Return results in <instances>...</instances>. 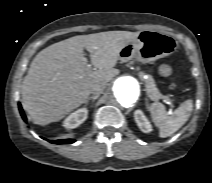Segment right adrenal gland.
<instances>
[{
	"label": "right adrenal gland",
	"mask_w": 212,
	"mask_h": 183,
	"mask_svg": "<svg viewBox=\"0 0 212 183\" xmlns=\"http://www.w3.org/2000/svg\"><path fill=\"white\" fill-rule=\"evenodd\" d=\"M98 97H99L98 95L88 97V98L85 100V105L87 106L90 100H92V102L94 103L95 100H96Z\"/></svg>",
	"instance_id": "right-adrenal-gland-1"
}]
</instances>
